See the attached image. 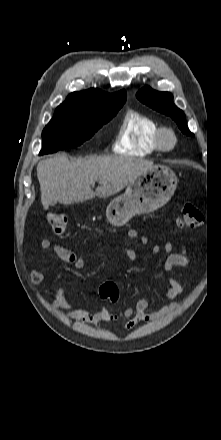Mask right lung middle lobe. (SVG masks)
I'll use <instances>...</instances> for the list:
<instances>
[{
    "mask_svg": "<svg viewBox=\"0 0 221 440\" xmlns=\"http://www.w3.org/2000/svg\"><path fill=\"white\" fill-rule=\"evenodd\" d=\"M122 106L70 109L57 108L54 117L42 132L40 155L73 148L90 139L94 133L116 115Z\"/></svg>",
    "mask_w": 221,
    "mask_h": 440,
    "instance_id": "1",
    "label": "right lung middle lobe"
}]
</instances>
